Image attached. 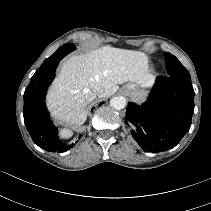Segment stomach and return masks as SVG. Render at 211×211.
Listing matches in <instances>:
<instances>
[{
  "label": "stomach",
  "instance_id": "obj_1",
  "mask_svg": "<svg viewBox=\"0 0 211 211\" xmlns=\"http://www.w3.org/2000/svg\"><path fill=\"white\" fill-rule=\"evenodd\" d=\"M122 92L130 98L142 101L145 97V90L136 84L129 83L125 85Z\"/></svg>",
  "mask_w": 211,
  "mask_h": 211
}]
</instances>
